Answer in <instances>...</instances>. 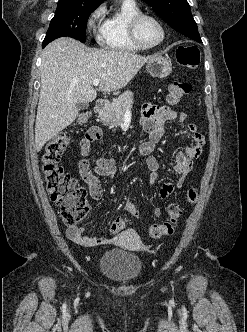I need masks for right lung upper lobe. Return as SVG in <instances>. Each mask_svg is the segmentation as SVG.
Returning a JSON list of instances; mask_svg holds the SVG:
<instances>
[{"label":"right lung upper lobe","instance_id":"right-lung-upper-lobe-1","mask_svg":"<svg viewBox=\"0 0 247 332\" xmlns=\"http://www.w3.org/2000/svg\"><path fill=\"white\" fill-rule=\"evenodd\" d=\"M87 1H93V2H97V3H103L105 0H87Z\"/></svg>","mask_w":247,"mask_h":332}]
</instances>
